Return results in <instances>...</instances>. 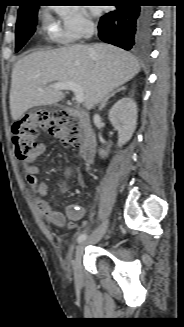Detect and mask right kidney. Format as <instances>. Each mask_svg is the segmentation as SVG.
<instances>
[{
	"mask_svg": "<svg viewBox=\"0 0 184 327\" xmlns=\"http://www.w3.org/2000/svg\"><path fill=\"white\" fill-rule=\"evenodd\" d=\"M109 120L118 131V146L121 147L129 141L137 125V105L133 99L124 97L117 101L109 110ZM104 157L107 153L100 150Z\"/></svg>",
	"mask_w": 184,
	"mask_h": 327,
	"instance_id": "1",
	"label": "right kidney"
}]
</instances>
